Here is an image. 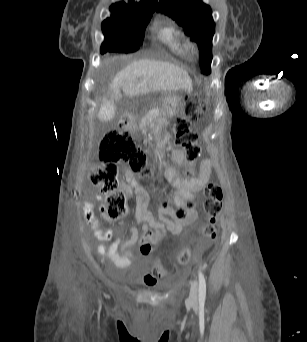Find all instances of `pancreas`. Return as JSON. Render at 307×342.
Instances as JSON below:
<instances>
[{"mask_svg": "<svg viewBox=\"0 0 307 342\" xmlns=\"http://www.w3.org/2000/svg\"><path fill=\"white\" fill-rule=\"evenodd\" d=\"M157 112H158V109L156 107H153L151 109V113L146 114V116H144V118H142V120L140 122V128H143V126H145L147 118H151V119H154L155 117L158 118L160 115Z\"/></svg>", "mask_w": 307, "mask_h": 342, "instance_id": "obj_1", "label": "pancreas"}]
</instances>
